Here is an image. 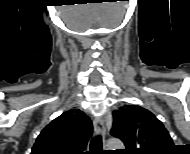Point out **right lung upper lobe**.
Listing matches in <instances>:
<instances>
[{
    "label": "right lung upper lobe",
    "mask_w": 190,
    "mask_h": 154,
    "mask_svg": "<svg viewBox=\"0 0 190 154\" xmlns=\"http://www.w3.org/2000/svg\"><path fill=\"white\" fill-rule=\"evenodd\" d=\"M92 130V122L84 112L68 110L41 131L31 154H82Z\"/></svg>",
    "instance_id": "1"
}]
</instances>
